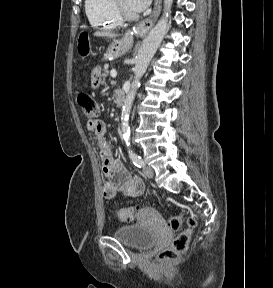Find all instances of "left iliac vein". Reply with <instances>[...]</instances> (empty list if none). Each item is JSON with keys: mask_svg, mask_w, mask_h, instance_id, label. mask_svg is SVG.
I'll return each mask as SVG.
<instances>
[{"mask_svg": "<svg viewBox=\"0 0 273 288\" xmlns=\"http://www.w3.org/2000/svg\"><path fill=\"white\" fill-rule=\"evenodd\" d=\"M143 174L147 178H153L154 177V171H153V169L151 167L145 166L143 168Z\"/></svg>", "mask_w": 273, "mask_h": 288, "instance_id": "left-iliac-vein-1", "label": "left iliac vein"}]
</instances>
